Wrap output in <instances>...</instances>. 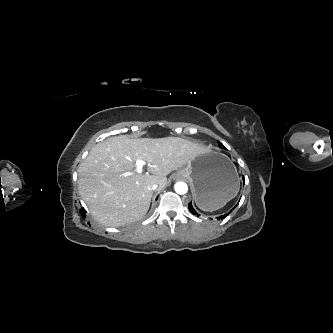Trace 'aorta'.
<instances>
[{
	"instance_id": "obj_1",
	"label": "aorta",
	"mask_w": 333,
	"mask_h": 333,
	"mask_svg": "<svg viewBox=\"0 0 333 333\" xmlns=\"http://www.w3.org/2000/svg\"><path fill=\"white\" fill-rule=\"evenodd\" d=\"M174 189L177 194L183 195L186 194L188 191V186L184 182H178L175 184Z\"/></svg>"
}]
</instances>
